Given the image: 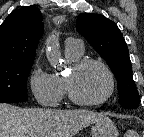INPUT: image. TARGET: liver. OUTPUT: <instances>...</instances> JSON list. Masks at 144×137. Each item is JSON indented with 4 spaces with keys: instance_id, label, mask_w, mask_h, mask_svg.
<instances>
[{
    "instance_id": "6515ba94",
    "label": "liver",
    "mask_w": 144,
    "mask_h": 137,
    "mask_svg": "<svg viewBox=\"0 0 144 137\" xmlns=\"http://www.w3.org/2000/svg\"><path fill=\"white\" fill-rule=\"evenodd\" d=\"M103 117L85 109L19 108L0 103V137H74Z\"/></svg>"
}]
</instances>
